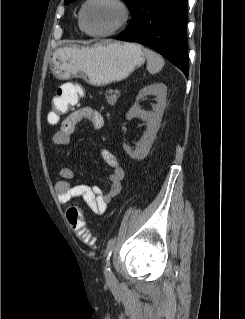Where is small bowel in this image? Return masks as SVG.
<instances>
[{"mask_svg": "<svg viewBox=\"0 0 245 319\" xmlns=\"http://www.w3.org/2000/svg\"><path fill=\"white\" fill-rule=\"evenodd\" d=\"M78 86L73 82H66L57 90L61 92H73ZM81 120H87L95 130H100L104 126L103 115L92 106H84L70 113L60 125L59 130L54 134L52 142L56 146L68 147L72 136L76 131V126ZM101 155L106 164L111 168L108 176L110 186L104 191L98 185L72 184L74 171L70 167H62L59 171V180L55 185L58 201L66 204L73 198L82 197L85 204L95 214H102L107 206L116 198L122 190V180L124 169L117 157L107 148L102 149Z\"/></svg>", "mask_w": 245, "mask_h": 319, "instance_id": "small-bowel-1", "label": "small bowel"}]
</instances>
